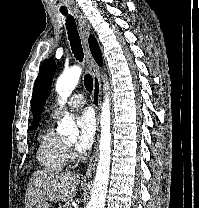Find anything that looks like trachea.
I'll return each mask as SVG.
<instances>
[{"mask_svg":"<svg viewBox=\"0 0 199 208\" xmlns=\"http://www.w3.org/2000/svg\"><path fill=\"white\" fill-rule=\"evenodd\" d=\"M61 13L65 16L68 15V12L66 9H62ZM66 29H67L68 39L70 41V45H71V49L74 54V57L79 62H83L84 54H83V49H82V45H81V40H80V37L78 34L75 20H74L73 16H71V15H68V17L66 19ZM84 85H85V88L89 92H92L93 78L90 74H86L84 76Z\"/></svg>","mask_w":199,"mask_h":208,"instance_id":"3493384b","label":"trachea"}]
</instances>
